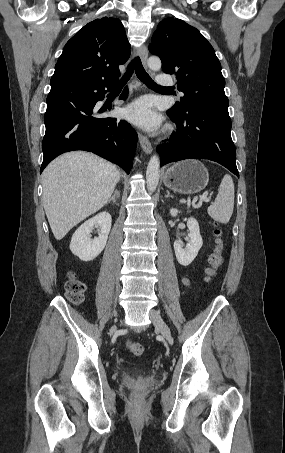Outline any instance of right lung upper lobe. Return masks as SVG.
Returning <instances> with one entry per match:
<instances>
[{
  "mask_svg": "<svg viewBox=\"0 0 285 453\" xmlns=\"http://www.w3.org/2000/svg\"><path fill=\"white\" fill-rule=\"evenodd\" d=\"M130 56V44L117 18L96 19L79 30L64 46L55 65L51 86L80 83L88 86L114 85L119 65Z\"/></svg>",
  "mask_w": 285,
  "mask_h": 453,
  "instance_id": "right-lung-upper-lobe-1",
  "label": "right lung upper lobe"
}]
</instances>
